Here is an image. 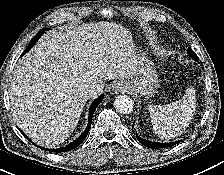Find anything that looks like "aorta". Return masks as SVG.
Masks as SVG:
<instances>
[{"label": "aorta", "instance_id": "obj_1", "mask_svg": "<svg viewBox=\"0 0 224 175\" xmlns=\"http://www.w3.org/2000/svg\"><path fill=\"white\" fill-rule=\"evenodd\" d=\"M115 108L119 113L128 114L134 109V102L127 95H119L114 102Z\"/></svg>", "mask_w": 224, "mask_h": 175}]
</instances>
